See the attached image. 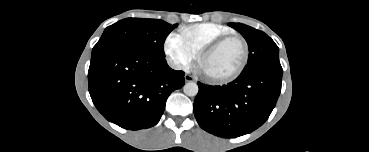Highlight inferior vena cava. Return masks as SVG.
<instances>
[{
  "instance_id": "602c4592",
  "label": "inferior vena cava",
  "mask_w": 369,
  "mask_h": 152,
  "mask_svg": "<svg viewBox=\"0 0 369 152\" xmlns=\"http://www.w3.org/2000/svg\"><path fill=\"white\" fill-rule=\"evenodd\" d=\"M168 63H169V65H170L173 69H176V70L181 69V65L176 64V63H174L173 61H169Z\"/></svg>"
}]
</instances>
